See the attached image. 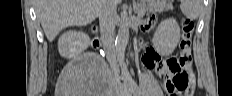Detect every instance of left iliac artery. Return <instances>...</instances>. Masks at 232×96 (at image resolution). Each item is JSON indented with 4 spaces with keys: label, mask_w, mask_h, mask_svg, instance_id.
Here are the masks:
<instances>
[{
    "label": "left iliac artery",
    "mask_w": 232,
    "mask_h": 96,
    "mask_svg": "<svg viewBox=\"0 0 232 96\" xmlns=\"http://www.w3.org/2000/svg\"><path fill=\"white\" fill-rule=\"evenodd\" d=\"M131 92L133 93L134 96H140L141 95V92H140L139 88L135 84L131 85Z\"/></svg>",
    "instance_id": "1"
}]
</instances>
